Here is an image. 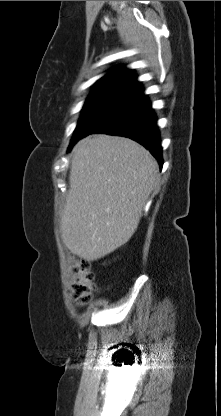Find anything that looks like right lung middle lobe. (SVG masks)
Returning <instances> with one entry per match:
<instances>
[{
	"label": "right lung middle lobe",
	"instance_id": "obj_1",
	"mask_svg": "<svg viewBox=\"0 0 221 416\" xmlns=\"http://www.w3.org/2000/svg\"><path fill=\"white\" fill-rule=\"evenodd\" d=\"M124 99L126 98L117 95L90 96L82 109L83 113L79 119L71 142L89 134L97 128Z\"/></svg>",
	"mask_w": 221,
	"mask_h": 416
}]
</instances>
